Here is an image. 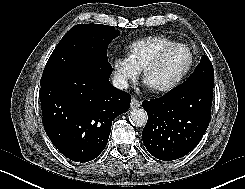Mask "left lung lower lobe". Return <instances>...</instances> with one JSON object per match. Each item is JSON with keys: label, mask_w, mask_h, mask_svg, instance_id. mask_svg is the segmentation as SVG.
<instances>
[{"label": "left lung lower lobe", "mask_w": 245, "mask_h": 189, "mask_svg": "<svg viewBox=\"0 0 245 189\" xmlns=\"http://www.w3.org/2000/svg\"><path fill=\"white\" fill-rule=\"evenodd\" d=\"M213 87L205 80H188L161 98L142 103L148 114L142 139L152 156L175 160L198 145L211 119Z\"/></svg>", "instance_id": "left-lung-lower-lobe-1"}]
</instances>
